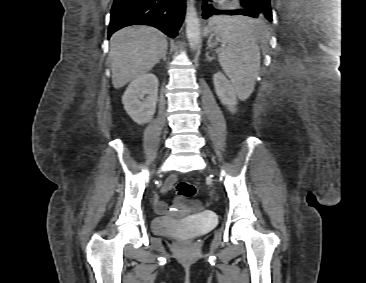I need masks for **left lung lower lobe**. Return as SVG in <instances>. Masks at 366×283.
<instances>
[{
	"instance_id": "left-lung-lower-lobe-1",
	"label": "left lung lower lobe",
	"mask_w": 366,
	"mask_h": 283,
	"mask_svg": "<svg viewBox=\"0 0 366 283\" xmlns=\"http://www.w3.org/2000/svg\"><path fill=\"white\" fill-rule=\"evenodd\" d=\"M240 4L242 6V9L237 10H216L212 7V5H209L208 3H204L202 6L203 13L202 16L204 19H208L209 17H212L214 15L218 14H228V15H244L249 16L253 18H258L263 14V11L260 7L257 6L253 1L251 0H240Z\"/></svg>"
}]
</instances>
